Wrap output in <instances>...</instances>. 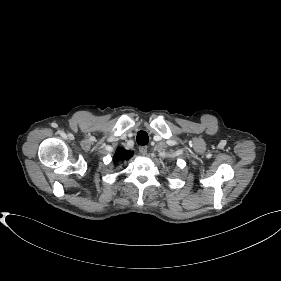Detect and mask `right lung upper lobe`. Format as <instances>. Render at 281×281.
Segmentation results:
<instances>
[{
  "label": "right lung upper lobe",
  "mask_w": 281,
  "mask_h": 281,
  "mask_svg": "<svg viewBox=\"0 0 281 281\" xmlns=\"http://www.w3.org/2000/svg\"><path fill=\"white\" fill-rule=\"evenodd\" d=\"M133 155L132 151H128L122 148H118L116 154L114 155V162H119L131 158Z\"/></svg>",
  "instance_id": "obj_1"
}]
</instances>
